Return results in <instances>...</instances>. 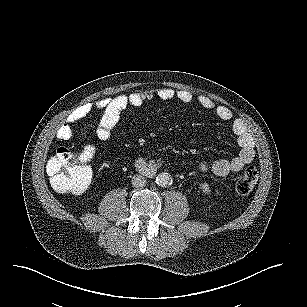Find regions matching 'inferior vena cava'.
Segmentation results:
<instances>
[{"instance_id":"inferior-vena-cava-1","label":"inferior vena cava","mask_w":307,"mask_h":307,"mask_svg":"<svg viewBox=\"0 0 307 307\" xmlns=\"http://www.w3.org/2000/svg\"><path fill=\"white\" fill-rule=\"evenodd\" d=\"M147 181L144 176L140 174H134L131 177V185L135 188H141L146 185Z\"/></svg>"}]
</instances>
